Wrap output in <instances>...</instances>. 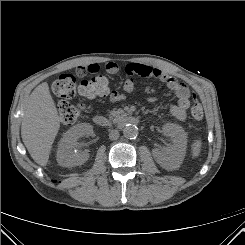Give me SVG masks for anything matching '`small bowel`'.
<instances>
[{
    "mask_svg": "<svg viewBox=\"0 0 245 245\" xmlns=\"http://www.w3.org/2000/svg\"><path fill=\"white\" fill-rule=\"evenodd\" d=\"M104 69L107 73L115 75L119 72V66L114 62H106ZM101 65L98 63H91L86 66H81L77 70L79 76H84L87 73L95 74L99 72ZM127 77L123 83L121 90L109 91L108 97L110 102L122 101L127 94L132 93L136 87V77L154 78L166 83L167 87L177 97V102L170 107L171 114L178 120L184 121L187 118V112L190 108V90L186 84L177 80L174 76L167 72L146 64L129 63L125 67ZM148 101L154 103L155 97H149Z\"/></svg>",
    "mask_w": 245,
    "mask_h": 245,
    "instance_id": "obj_1",
    "label": "small bowel"
}]
</instances>
